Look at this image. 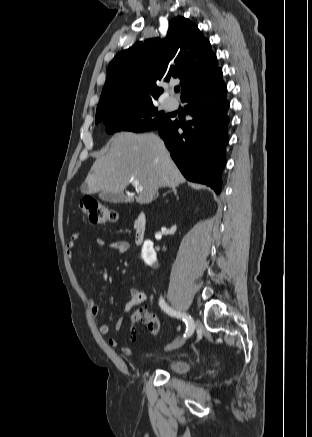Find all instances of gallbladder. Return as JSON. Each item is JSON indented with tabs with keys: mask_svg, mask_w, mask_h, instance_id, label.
I'll use <instances>...</instances> for the list:
<instances>
[{
	"mask_svg": "<svg viewBox=\"0 0 312 437\" xmlns=\"http://www.w3.org/2000/svg\"><path fill=\"white\" fill-rule=\"evenodd\" d=\"M99 197L101 200H103L105 202H110V203L133 201L132 196H124V195L119 194V193H112V192H106V191L100 192Z\"/></svg>",
	"mask_w": 312,
	"mask_h": 437,
	"instance_id": "gallbladder-1",
	"label": "gallbladder"
}]
</instances>
